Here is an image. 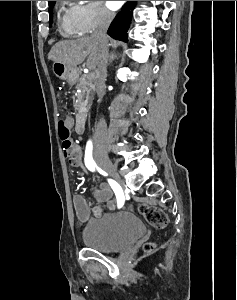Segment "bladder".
Here are the masks:
<instances>
[{
    "label": "bladder",
    "mask_w": 237,
    "mask_h": 300,
    "mask_svg": "<svg viewBox=\"0 0 237 300\" xmlns=\"http://www.w3.org/2000/svg\"><path fill=\"white\" fill-rule=\"evenodd\" d=\"M144 226L137 215L119 211L89 220L81 238L88 248L100 252H118L129 248L142 234Z\"/></svg>",
    "instance_id": "obj_1"
}]
</instances>
